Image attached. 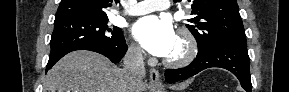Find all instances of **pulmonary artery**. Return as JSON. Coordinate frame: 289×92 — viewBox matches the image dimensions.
<instances>
[{
  "instance_id": "e3ab8cb5",
  "label": "pulmonary artery",
  "mask_w": 289,
  "mask_h": 92,
  "mask_svg": "<svg viewBox=\"0 0 289 92\" xmlns=\"http://www.w3.org/2000/svg\"><path fill=\"white\" fill-rule=\"evenodd\" d=\"M170 7V2L167 0H144L136 3L127 13L129 15L138 16L144 15L156 10H165Z\"/></svg>"
}]
</instances>
